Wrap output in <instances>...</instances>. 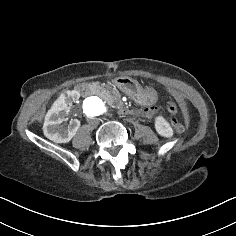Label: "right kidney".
I'll return each mask as SVG.
<instances>
[{
	"mask_svg": "<svg viewBox=\"0 0 236 236\" xmlns=\"http://www.w3.org/2000/svg\"><path fill=\"white\" fill-rule=\"evenodd\" d=\"M80 94L75 90H67L61 96H57L45 109L44 135L56 142H69L80 127L78 119L66 118L65 110L78 101Z\"/></svg>",
	"mask_w": 236,
	"mask_h": 236,
	"instance_id": "obj_1",
	"label": "right kidney"
}]
</instances>
